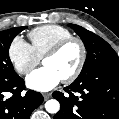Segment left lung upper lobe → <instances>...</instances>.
<instances>
[{"instance_id": "obj_1", "label": "left lung upper lobe", "mask_w": 119, "mask_h": 119, "mask_svg": "<svg viewBox=\"0 0 119 119\" xmlns=\"http://www.w3.org/2000/svg\"><path fill=\"white\" fill-rule=\"evenodd\" d=\"M69 26L80 36L88 51L83 69L76 80L88 78L95 71L106 67L119 65V57L105 40L81 26Z\"/></svg>"}]
</instances>
